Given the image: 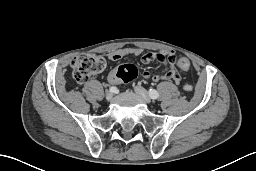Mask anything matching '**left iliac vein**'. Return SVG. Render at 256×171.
Listing matches in <instances>:
<instances>
[{"label":"left iliac vein","mask_w":256,"mask_h":171,"mask_svg":"<svg viewBox=\"0 0 256 171\" xmlns=\"http://www.w3.org/2000/svg\"><path fill=\"white\" fill-rule=\"evenodd\" d=\"M135 92L144 100L145 103L150 104L152 102L150 96L147 91L141 86H135Z\"/></svg>","instance_id":"1"}]
</instances>
